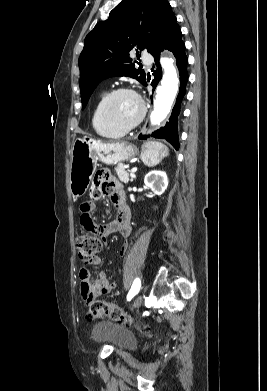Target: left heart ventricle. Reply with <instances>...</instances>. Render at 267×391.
I'll use <instances>...</instances> for the list:
<instances>
[{
  "label": "left heart ventricle",
  "mask_w": 267,
  "mask_h": 391,
  "mask_svg": "<svg viewBox=\"0 0 267 391\" xmlns=\"http://www.w3.org/2000/svg\"><path fill=\"white\" fill-rule=\"evenodd\" d=\"M139 113L140 104L131 94H119L111 103V114L122 125L132 123L138 117Z\"/></svg>",
  "instance_id": "1"
}]
</instances>
